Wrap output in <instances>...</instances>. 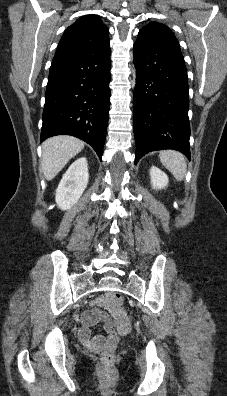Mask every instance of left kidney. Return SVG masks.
<instances>
[{
	"mask_svg": "<svg viewBox=\"0 0 227 396\" xmlns=\"http://www.w3.org/2000/svg\"><path fill=\"white\" fill-rule=\"evenodd\" d=\"M151 185L153 189H163L168 185V176L156 166L150 169Z\"/></svg>",
	"mask_w": 227,
	"mask_h": 396,
	"instance_id": "left-kidney-1",
	"label": "left kidney"
}]
</instances>
